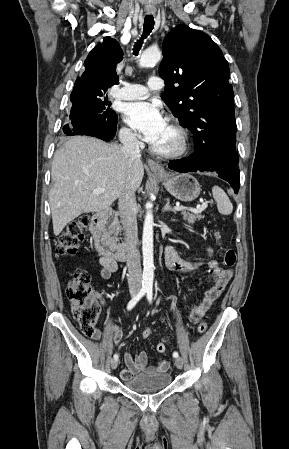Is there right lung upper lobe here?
Returning <instances> with one entry per match:
<instances>
[{
	"mask_svg": "<svg viewBox=\"0 0 289 449\" xmlns=\"http://www.w3.org/2000/svg\"><path fill=\"white\" fill-rule=\"evenodd\" d=\"M123 52L119 43L110 37H105L87 56L85 71L77 78L74 86L76 94L105 90L118 84L116 64L122 61ZM74 96V95H73Z\"/></svg>",
	"mask_w": 289,
	"mask_h": 449,
	"instance_id": "right-lung-upper-lobe-1",
	"label": "right lung upper lobe"
}]
</instances>
